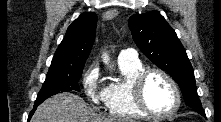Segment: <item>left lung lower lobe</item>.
I'll list each match as a JSON object with an SVG mask.
<instances>
[{"instance_id": "obj_1", "label": "left lung lower lobe", "mask_w": 221, "mask_h": 122, "mask_svg": "<svg viewBox=\"0 0 221 122\" xmlns=\"http://www.w3.org/2000/svg\"><path fill=\"white\" fill-rule=\"evenodd\" d=\"M199 113H200L202 116L206 117L204 111H201V112H199Z\"/></svg>"}]
</instances>
